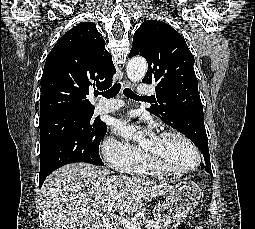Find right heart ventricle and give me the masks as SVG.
I'll return each mask as SVG.
<instances>
[{"label": "right heart ventricle", "instance_id": "right-heart-ventricle-1", "mask_svg": "<svg viewBox=\"0 0 255 229\" xmlns=\"http://www.w3.org/2000/svg\"><path fill=\"white\" fill-rule=\"evenodd\" d=\"M122 171L133 174V175H142V176H168L170 174L165 173L161 170L156 169L151 164H149L143 157V155L140 154L132 160L130 163L126 164Z\"/></svg>", "mask_w": 255, "mask_h": 229}]
</instances>
